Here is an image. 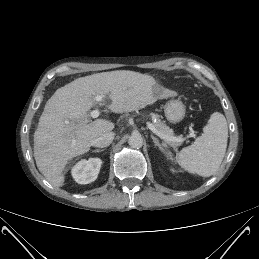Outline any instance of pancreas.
I'll return each mask as SVG.
<instances>
[{
  "label": "pancreas",
  "mask_w": 259,
  "mask_h": 259,
  "mask_svg": "<svg viewBox=\"0 0 259 259\" xmlns=\"http://www.w3.org/2000/svg\"><path fill=\"white\" fill-rule=\"evenodd\" d=\"M156 122L153 123L154 127L161 132L162 134L168 137H175L174 132L170 129L164 122L159 119V116L156 115ZM181 139V136L177 137ZM166 141V140H165ZM171 146H178L182 143V141H166Z\"/></svg>",
  "instance_id": "cf45deb5"
}]
</instances>
